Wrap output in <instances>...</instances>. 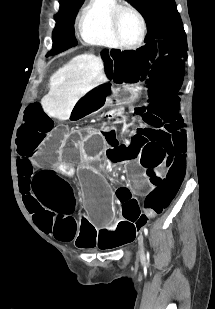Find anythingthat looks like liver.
I'll list each match as a JSON object with an SVG mask.
<instances>
[{"instance_id":"liver-1","label":"liver","mask_w":215,"mask_h":309,"mask_svg":"<svg viewBox=\"0 0 215 309\" xmlns=\"http://www.w3.org/2000/svg\"><path fill=\"white\" fill-rule=\"evenodd\" d=\"M104 64L101 56L86 52L74 56L70 62L58 68L50 76V88L41 104L49 114L60 120H67L81 96L106 82Z\"/></svg>"}]
</instances>
